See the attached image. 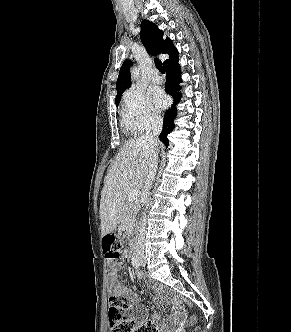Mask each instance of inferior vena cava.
Returning <instances> with one entry per match:
<instances>
[{"instance_id":"inferior-vena-cava-1","label":"inferior vena cava","mask_w":291,"mask_h":332,"mask_svg":"<svg viewBox=\"0 0 291 332\" xmlns=\"http://www.w3.org/2000/svg\"><path fill=\"white\" fill-rule=\"evenodd\" d=\"M163 119L160 117H154L145 134L140 138L141 142L145 144L148 150L149 165L148 175L143 186V204L147 207L149 202L148 192L152 187L153 180L158 167V136L162 131ZM145 227H146V216L143 213L141 222L138 227V240H137V252L140 255L144 254L145 251Z\"/></svg>"}]
</instances>
